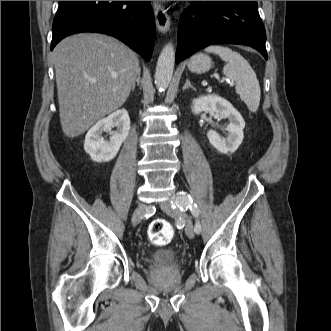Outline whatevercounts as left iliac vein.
Listing matches in <instances>:
<instances>
[{
    "label": "left iliac vein",
    "mask_w": 331,
    "mask_h": 331,
    "mask_svg": "<svg viewBox=\"0 0 331 331\" xmlns=\"http://www.w3.org/2000/svg\"><path fill=\"white\" fill-rule=\"evenodd\" d=\"M161 208L166 212L177 213L185 220V233L190 239L194 238L195 230L193 224L187 214L179 212L177 209H173L172 205L168 201L161 203Z\"/></svg>",
    "instance_id": "4c4485c4"
}]
</instances>
